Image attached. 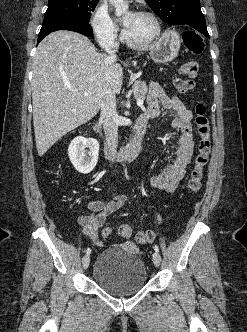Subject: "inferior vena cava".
<instances>
[{"label": "inferior vena cava", "instance_id": "1", "mask_svg": "<svg viewBox=\"0 0 247 332\" xmlns=\"http://www.w3.org/2000/svg\"><path fill=\"white\" fill-rule=\"evenodd\" d=\"M113 41L110 39L102 44L104 50L109 54L110 59L115 60L116 54L113 49ZM100 120L103 123L107 146L112 157H115L118 144V124L116 112L115 93L108 91L103 98L101 105Z\"/></svg>", "mask_w": 247, "mask_h": 332}]
</instances>
